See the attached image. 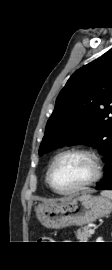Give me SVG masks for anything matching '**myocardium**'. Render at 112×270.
<instances>
[{"label":"myocardium","instance_id":"myocardium-1","mask_svg":"<svg viewBox=\"0 0 112 270\" xmlns=\"http://www.w3.org/2000/svg\"><path fill=\"white\" fill-rule=\"evenodd\" d=\"M68 154H79V155H84L86 157H88L93 165V175L91 176V178L89 180H87L86 182L71 188L69 190H59L58 188L55 187V185L52 182V171L53 168L55 166V164L57 163V161ZM103 175V160L101 158V156L94 150L92 149H88V148H80V147H75V148H68L65 150L60 151L59 153H57L54 158L52 159L47 173H46V180L47 183L49 184L50 188L57 194L59 195H71V194H75L78 193L80 191H83L91 186H93L95 183H97L101 177Z\"/></svg>","mask_w":112,"mask_h":270}]
</instances>
